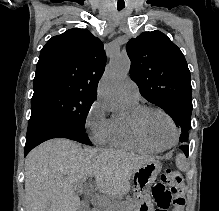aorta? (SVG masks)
Wrapping results in <instances>:
<instances>
[{"label":"aorta","instance_id":"762f6f07","mask_svg":"<svg viewBox=\"0 0 219 211\" xmlns=\"http://www.w3.org/2000/svg\"><path fill=\"white\" fill-rule=\"evenodd\" d=\"M129 69V58L117 56L110 61L101 79L98 96L110 112L117 113L120 110L118 101L120 84L127 76Z\"/></svg>","mask_w":219,"mask_h":211}]
</instances>
